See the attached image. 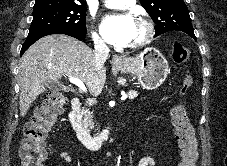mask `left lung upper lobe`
Returning a JSON list of instances; mask_svg holds the SVG:
<instances>
[{
    "label": "left lung upper lobe",
    "instance_id": "obj_1",
    "mask_svg": "<svg viewBox=\"0 0 227 166\" xmlns=\"http://www.w3.org/2000/svg\"><path fill=\"white\" fill-rule=\"evenodd\" d=\"M156 23L155 36L169 31L192 32L189 11L183 0H140Z\"/></svg>",
    "mask_w": 227,
    "mask_h": 166
}]
</instances>
